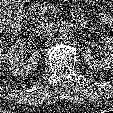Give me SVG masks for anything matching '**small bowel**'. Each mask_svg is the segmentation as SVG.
Returning <instances> with one entry per match:
<instances>
[{"label":"small bowel","mask_w":113,"mask_h":113,"mask_svg":"<svg viewBox=\"0 0 113 113\" xmlns=\"http://www.w3.org/2000/svg\"><path fill=\"white\" fill-rule=\"evenodd\" d=\"M85 1H91V0H85ZM111 3L113 0H110ZM102 20H104L105 22H108L110 24V26L113 28V21L112 19L107 18L106 16H104L103 14H100L99 16Z\"/></svg>","instance_id":"1"}]
</instances>
